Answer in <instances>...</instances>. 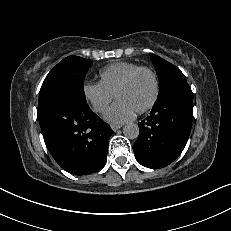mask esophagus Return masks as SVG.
<instances>
[{
    "instance_id": "obj_1",
    "label": "esophagus",
    "mask_w": 231,
    "mask_h": 231,
    "mask_svg": "<svg viewBox=\"0 0 231 231\" xmlns=\"http://www.w3.org/2000/svg\"><path fill=\"white\" fill-rule=\"evenodd\" d=\"M123 125L122 124H112L111 128L113 131H117L118 129H120Z\"/></svg>"
}]
</instances>
